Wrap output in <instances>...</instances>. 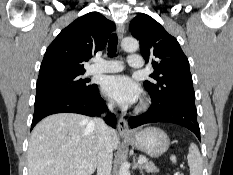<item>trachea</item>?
<instances>
[{"label":"trachea","instance_id":"obj_1","mask_svg":"<svg viewBox=\"0 0 233 175\" xmlns=\"http://www.w3.org/2000/svg\"><path fill=\"white\" fill-rule=\"evenodd\" d=\"M117 44H118V37L116 33H113L110 36L109 42H108V56L113 57L116 54L117 51Z\"/></svg>","mask_w":233,"mask_h":175}]
</instances>
